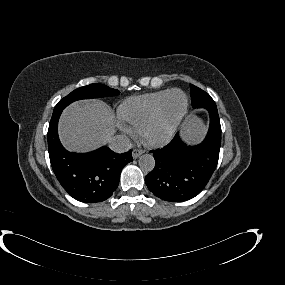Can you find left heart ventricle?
I'll return each instance as SVG.
<instances>
[{
    "instance_id": "left-heart-ventricle-1",
    "label": "left heart ventricle",
    "mask_w": 285,
    "mask_h": 285,
    "mask_svg": "<svg viewBox=\"0 0 285 285\" xmlns=\"http://www.w3.org/2000/svg\"><path fill=\"white\" fill-rule=\"evenodd\" d=\"M184 103V98L180 93H175L170 98L169 111L166 118L165 123L161 126V128L156 132V134H161L165 132L171 123V121L175 118V116L179 113Z\"/></svg>"
}]
</instances>
